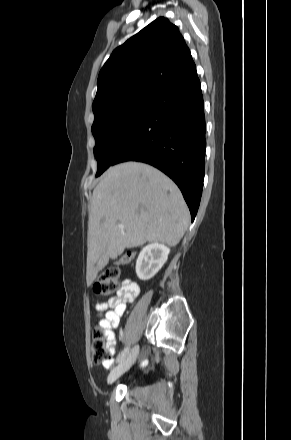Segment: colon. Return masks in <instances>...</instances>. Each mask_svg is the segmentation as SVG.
I'll return each mask as SVG.
<instances>
[{"instance_id": "obj_1", "label": "colon", "mask_w": 291, "mask_h": 440, "mask_svg": "<svg viewBox=\"0 0 291 440\" xmlns=\"http://www.w3.org/2000/svg\"><path fill=\"white\" fill-rule=\"evenodd\" d=\"M120 265L121 263H114L99 274L93 289L96 295L107 296L121 291ZM104 334L101 329H95L93 331L91 357L95 363H103L112 358L111 352L107 347V342L104 340Z\"/></svg>"}]
</instances>
